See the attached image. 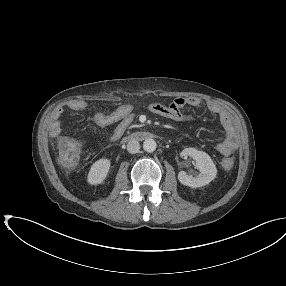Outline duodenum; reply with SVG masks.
<instances>
[{
	"instance_id": "duodenum-1",
	"label": "duodenum",
	"mask_w": 286,
	"mask_h": 286,
	"mask_svg": "<svg viewBox=\"0 0 286 286\" xmlns=\"http://www.w3.org/2000/svg\"><path fill=\"white\" fill-rule=\"evenodd\" d=\"M152 135L148 132H135L127 137L124 138V141H144L151 138Z\"/></svg>"
}]
</instances>
